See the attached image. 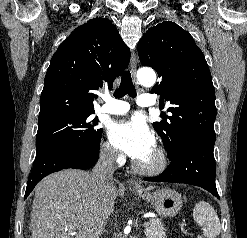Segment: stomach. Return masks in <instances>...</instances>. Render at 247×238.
<instances>
[{"label": "stomach", "instance_id": "stomach-1", "mask_svg": "<svg viewBox=\"0 0 247 238\" xmlns=\"http://www.w3.org/2000/svg\"><path fill=\"white\" fill-rule=\"evenodd\" d=\"M139 197L150 202L161 217H173L182 207L179 193L171 189H159L153 193L137 190Z\"/></svg>", "mask_w": 247, "mask_h": 238}]
</instances>
